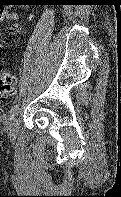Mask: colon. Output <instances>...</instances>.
I'll return each instance as SVG.
<instances>
[{
    "mask_svg": "<svg viewBox=\"0 0 121 197\" xmlns=\"http://www.w3.org/2000/svg\"><path fill=\"white\" fill-rule=\"evenodd\" d=\"M20 27L14 26L12 33L20 32ZM15 93L14 77L6 68L3 61L0 62V105L6 104Z\"/></svg>",
    "mask_w": 121,
    "mask_h": 197,
    "instance_id": "5ec220e1",
    "label": "colon"
}]
</instances>
